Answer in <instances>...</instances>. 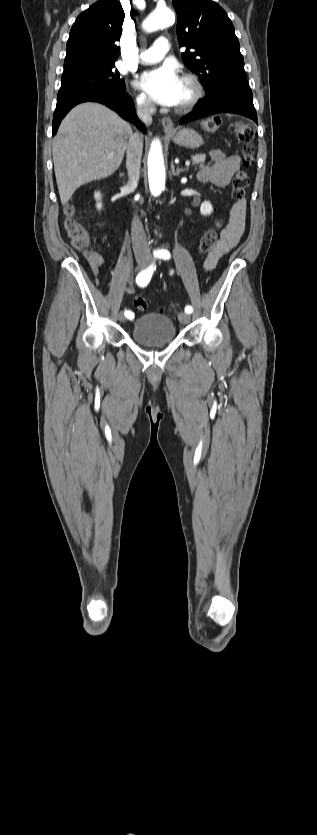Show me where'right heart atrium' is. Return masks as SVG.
<instances>
[{
	"mask_svg": "<svg viewBox=\"0 0 317 835\" xmlns=\"http://www.w3.org/2000/svg\"><path fill=\"white\" fill-rule=\"evenodd\" d=\"M135 103L139 111L149 113L153 109L151 101L142 93H137L135 96Z\"/></svg>",
	"mask_w": 317,
	"mask_h": 835,
	"instance_id": "d8ad5b80",
	"label": "right heart atrium"
}]
</instances>
